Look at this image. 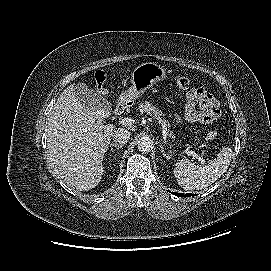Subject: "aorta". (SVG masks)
Returning <instances> with one entry per match:
<instances>
[{
	"label": "aorta",
	"instance_id": "762f6f07",
	"mask_svg": "<svg viewBox=\"0 0 271 271\" xmlns=\"http://www.w3.org/2000/svg\"><path fill=\"white\" fill-rule=\"evenodd\" d=\"M137 147L141 152H149L153 147V142L149 137L143 136L138 140Z\"/></svg>",
	"mask_w": 271,
	"mask_h": 271
}]
</instances>
